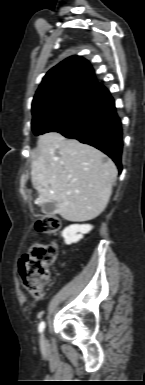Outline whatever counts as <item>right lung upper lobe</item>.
<instances>
[{"label": "right lung upper lobe", "mask_w": 145, "mask_h": 385, "mask_svg": "<svg viewBox=\"0 0 145 385\" xmlns=\"http://www.w3.org/2000/svg\"><path fill=\"white\" fill-rule=\"evenodd\" d=\"M73 90H90L102 93L106 89L96 81L87 60L80 56L65 59L43 78L32 102V109L49 99Z\"/></svg>", "instance_id": "1"}]
</instances>
